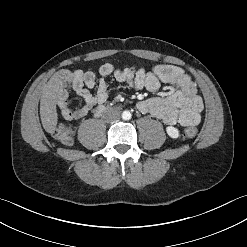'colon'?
Wrapping results in <instances>:
<instances>
[{
  "label": "colon",
  "instance_id": "colon-1",
  "mask_svg": "<svg viewBox=\"0 0 247 247\" xmlns=\"http://www.w3.org/2000/svg\"><path fill=\"white\" fill-rule=\"evenodd\" d=\"M135 68L132 67V70ZM197 135V129L194 126L188 127L184 130L183 136L185 138H193ZM54 136L63 144H70L72 142V130L70 127L59 124L54 130Z\"/></svg>",
  "mask_w": 247,
  "mask_h": 247
}]
</instances>
